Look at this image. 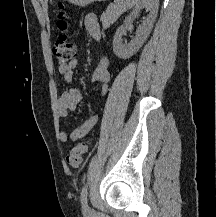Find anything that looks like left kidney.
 Returning <instances> with one entry per match:
<instances>
[{"label": "left kidney", "instance_id": "1", "mask_svg": "<svg viewBox=\"0 0 216 217\" xmlns=\"http://www.w3.org/2000/svg\"><path fill=\"white\" fill-rule=\"evenodd\" d=\"M159 0H140L132 13L125 18V23H130L133 17H136L143 8L149 11L148 17L139 26L136 37L129 43L123 42V35H125V27L120 26L113 39V51L115 55L122 59H127L135 54L145 43L153 28L155 18L158 13Z\"/></svg>", "mask_w": 216, "mask_h": 217}]
</instances>
